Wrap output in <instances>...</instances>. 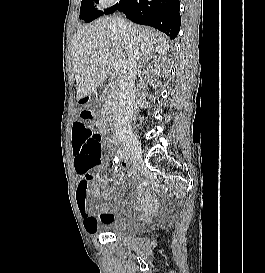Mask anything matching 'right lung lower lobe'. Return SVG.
Returning a JSON list of instances; mask_svg holds the SVG:
<instances>
[{"label":"right lung lower lobe","mask_w":265,"mask_h":273,"mask_svg":"<svg viewBox=\"0 0 265 273\" xmlns=\"http://www.w3.org/2000/svg\"><path fill=\"white\" fill-rule=\"evenodd\" d=\"M179 7V0H121L114 11H122L131 21L152 26L174 39L181 24Z\"/></svg>","instance_id":"1"}]
</instances>
